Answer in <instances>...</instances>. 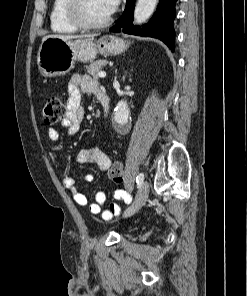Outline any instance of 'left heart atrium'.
Listing matches in <instances>:
<instances>
[{"label":"left heart atrium","instance_id":"obj_1","mask_svg":"<svg viewBox=\"0 0 247 296\" xmlns=\"http://www.w3.org/2000/svg\"><path fill=\"white\" fill-rule=\"evenodd\" d=\"M109 14H112L118 7L120 0H104Z\"/></svg>","mask_w":247,"mask_h":296}]
</instances>
